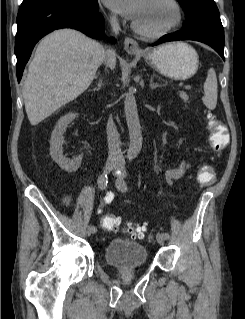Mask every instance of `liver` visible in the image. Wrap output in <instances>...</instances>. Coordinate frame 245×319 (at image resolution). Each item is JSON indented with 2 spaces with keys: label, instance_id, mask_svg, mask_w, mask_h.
Here are the masks:
<instances>
[{
  "label": "liver",
  "instance_id": "obj_1",
  "mask_svg": "<svg viewBox=\"0 0 245 319\" xmlns=\"http://www.w3.org/2000/svg\"><path fill=\"white\" fill-rule=\"evenodd\" d=\"M110 59L95 40L73 29H60L43 38L28 67L23 87L25 110L35 126L81 95L92 83L98 67Z\"/></svg>",
  "mask_w": 245,
  "mask_h": 319
}]
</instances>
